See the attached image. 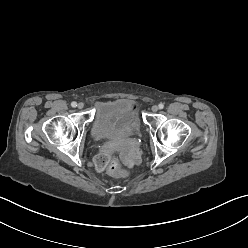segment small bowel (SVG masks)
Wrapping results in <instances>:
<instances>
[{"mask_svg":"<svg viewBox=\"0 0 248 248\" xmlns=\"http://www.w3.org/2000/svg\"><path fill=\"white\" fill-rule=\"evenodd\" d=\"M140 148L136 142H130L123 148V155L129 164H133L140 159Z\"/></svg>","mask_w":248,"mask_h":248,"instance_id":"c3829d8e","label":"small bowel"}]
</instances>
